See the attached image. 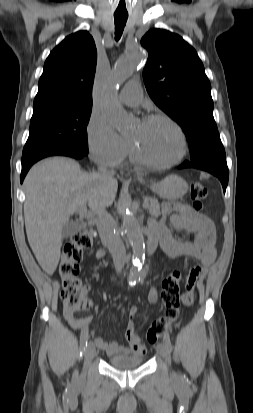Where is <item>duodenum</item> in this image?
<instances>
[{
  "label": "duodenum",
  "mask_w": 253,
  "mask_h": 413,
  "mask_svg": "<svg viewBox=\"0 0 253 413\" xmlns=\"http://www.w3.org/2000/svg\"><path fill=\"white\" fill-rule=\"evenodd\" d=\"M157 244H158L157 235L152 232H149L148 240H147V252L149 254L153 253L157 247ZM100 251L104 254L103 250H100Z\"/></svg>",
  "instance_id": "obj_1"
}]
</instances>
